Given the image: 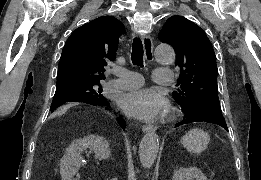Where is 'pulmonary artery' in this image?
<instances>
[{"label":"pulmonary artery","instance_id":"pulmonary-artery-1","mask_svg":"<svg viewBox=\"0 0 261 180\" xmlns=\"http://www.w3.org/2000/svg\"><path fill=\"white\" fill-rule=\"evenodd\" d=\"M118 78L111 82V85L118 89L142 88V76L130 70L112 69ZM156 77H175V72H170V67H155ZM157 83H174V78H157Z\"/></svg>","mask_w":261,"mask_h":180}]
</instances>
